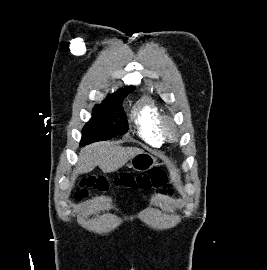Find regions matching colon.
I'll list each match as a JSON object with an SVG mask.
<instances>
[{
	"mask_svg": "<svg viewBox=\"0 0 267 270\" xmlns=\"http://www.w3.org/2000/svg\"><path fill=\"white\" fill-rule=\"evenodd\" d=\"M115 185L140 191H154L161 195H170L173 193L171 188L167 187L168 176L164 171L154 170L148 174L133 176L123 174L114 181ZM110 188V182L103 177L84 178L79 183V188L74 193L76 200L88 197L92 193H104Z\"/></svg>",
	"mask_w": 267,
	"mask_h": 270,
	"instance_id": "colon-1",
	"label": "colon"
}]
</instances>
